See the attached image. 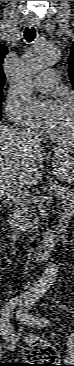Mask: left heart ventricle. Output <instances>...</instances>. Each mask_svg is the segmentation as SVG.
Wrapping results in <instances>:
<instances>
[{"label":"left heart ventricle","instance_id":"b2bd125f","mask_svg":"<svg viewBox=\"0 0 74 366\" xmlns=\"http://www.w3.org/2000/svg\"><path fill=\"white\" fill-rule=\"evenodd\" d=\"M72 126L73 121L70 107L67 104H63L59 116L50 131L56 135L68 137L72 132Z\"/></svg>","mask_w":74,"mask_h":366}]
</instances>
